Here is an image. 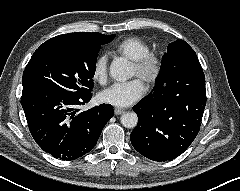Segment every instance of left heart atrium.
I'll return each mask as SVG.
<instances>
[{"label":"left heart atrium","mask_w":240,"mask_h":191,"mask_svg":"<svg viewBox=\"0 0 240 191\" xmlns=\"http://www.w3.org/2000/svg\"><path fill=\"white\" fill-rule=\"evenodd\" d=\"M145 93L144 84L139 79L117 82L102 91L100 99L116 107H126L138 101Z\"/></svg>","instance_id":"39dd6f15"}]
</instances>
